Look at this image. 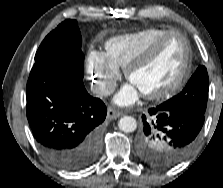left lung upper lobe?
<instances>
[{"label":"left lung upper lobe","instance_id":"obj_1","mask_svg":"<svg viewBox=\"0 0 223 188\" xmlns=\"http://www.w3.org/2000/svg\"><path fill=\"white\" fill-rule=\"evenodd\" d=\"M208 73L205 66H199L191 76L185 88L178 95L172 97L161 106L167 110L191 111L199 114L205 113L208 99ZM147 146L145 150L139 149V155L145 162L164 167L166 146L154 131L153 137H145Z\"/></svg>","mask_w":223,"mask_h":188}]
</instances>
